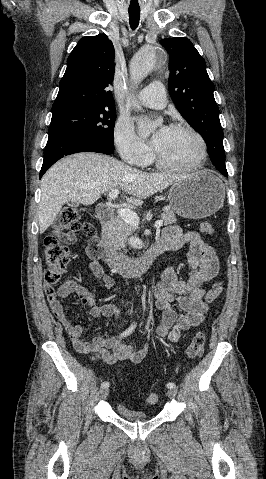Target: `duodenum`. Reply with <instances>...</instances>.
I'll return each mask as SVG.
<instances>
[{
    "mask_svg": "<svg viewBox=\"0 0 266 479\" xmlns=\"http://www.w3.org/2000/svg\"><path fill=\"white\" fill-rule=\"evenodd\" d=\"M98 219L105 226H110L113 221V213L109 204H100L96 207ZM165 251V247L158 241L147 249L139 258L131 259L120 255L114 249L109 248L104 237L98 244L89 247V254L103 261L116 272L128 277L136 278L144 274L152 266L154 259Z\"/></svg>",
    "mask_w": 266,
    "mask_h": 479,
    "instance_id": "obj_1",
    "label": "duodenum"
}]
</instances>
